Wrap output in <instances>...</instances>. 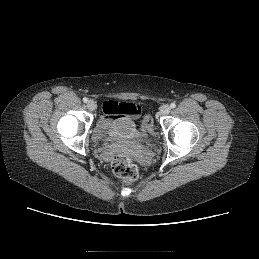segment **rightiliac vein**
<instances>
[{
  "label": "right iliac vein",
  "instance_id": "right-iliac-vein-1",
  "mask_svg": "<svg viewBox=\"0 0 259 259\" xmlns=\"http://www.w3.org/2000/svg\"><path fill=\"white\" fill-rule=\"evenodd\" d=\"M87 108H88L90 111L95 110V108H96V103H95L93 100H89V101L87 102Z\"/></svg>",
  "mask_w": 259,
  "mask_h": 259
}]
</instances>
